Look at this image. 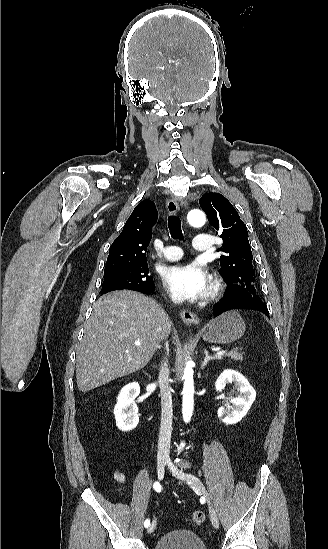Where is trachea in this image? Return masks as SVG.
Masks as SVG:
<instances>
[{
    "instance_id": "3493384b",
    "label": "trachea",
    "mask_w": 328,
    "mask_h": 549,
    "mask_svg": "<svg viewBox=\"0 0 328 549\" xmlns=\"http://www.w3.org/2000/svg\"><path fill=\"white\" fill-rule=\"evenodd\" d=\"M168 228L172 239L183 240V234L181 230V220L176 215H169Z\"/></svg>"
}]
</instances>
